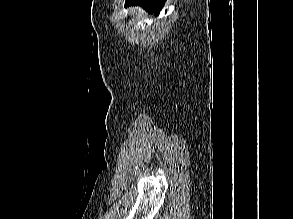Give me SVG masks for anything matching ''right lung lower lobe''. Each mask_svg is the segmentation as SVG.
Returning <instances> with one entry per match:
<instances>
[{"instance_id": "98d812e1", "label": "right lung lower lobe", "mask_w": 293, "mask_h": 219, "mask_svg": "<svg viewBox=\"0 0 293 219\" xmlns=\"http://www.w3.org/2000/svg\"><path fill=\"white\" fill-rule=\"evenodd\" d=\"M165 0H126L125 6L141 5L150 13L159 14Z\"/></svg>"}]
</instances>
